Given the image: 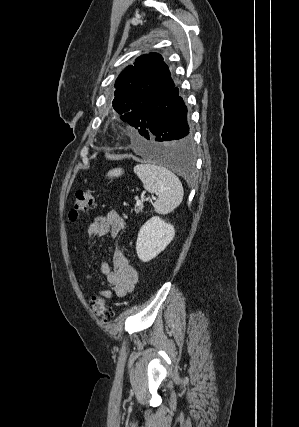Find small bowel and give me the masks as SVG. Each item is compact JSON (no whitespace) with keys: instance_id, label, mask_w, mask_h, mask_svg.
<instances>
[{"instance_id":"1","label":"small bowel","mask_w":299,"mask_h":427,"mask_svg":"<svg viewBox=\"0 0 299 427\" xmlns=\"http://www.w3.org/2000/svg\"><path fill=\"white\" fill-rule=\"evenodd\" d=\"M124 219L115 211H110L105 215L96 216L89 224L88 233L91 236H104L110 234L117 237L125 229ZM85 279L87 285L93 278L94 265L91 261H86ZM101 272L104 275L105 289L97 290V294L106 299L114 297L123 298L128 295L138 281V273L128 258L119 250L112 256V266L104 262L101 264Z\"/></svg>"}]
</instances>
